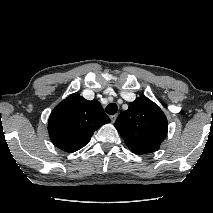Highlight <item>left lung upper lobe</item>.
<instances>
[{"label":"left lung upper lobe","instance_id":"5c2ea615","mask_svg":"<svg viewBox=\"0 0 213 213\" xmlns=\"http://www.w3.org/2000/svg\"><path fill=\"white\" fill-rule=\"evenodd\" d=\"M115 127L127 147L141 155L159 149L167 135L168 122L157 104L147 97H139L118 116Z\"/></svg>","mask_w":213,"mask_h":213}]
</instances>
